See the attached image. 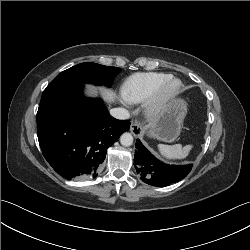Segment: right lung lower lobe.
Segmentation results:
<instances>
[{"label": "right lung lower lobe", "instance_id": "98d812e1", "mask_svg": "<svg viewBox=\"0 0 250 250\" xmlns=\"http://www.w3.org/2000/svg\"><path fill=\"white\" fill-rule=\"evenodd\" d=\"M82 85L60 90L40 103L37 135L42 153L62 177L97 176L108 147L129 130L130 121L109 115L101 99L86 98Z\"/></svg>", "mask_w": 250, "mask_h": 250}]
</instances>
